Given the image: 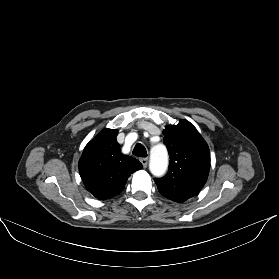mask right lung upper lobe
Wrapping results in <instances>:
<instances>
[{"mask_svg": "<svg viewBox=\"0 0 279 279\" xmlns=\"http://www.w3.org/2000/svg\"><path fill=\"white\" fill-rule=\"evenodd\" d=\"M117 133V130H102L86 145L79 160L86 189L100 200L122 192L129 176L143 167L137 159L121 153Z\"/></svg>", "mask_w": 279, "mask_h": 279, "instance_id": "cb5924a9", "label": "right lung upper lobe"}]
</instances>
